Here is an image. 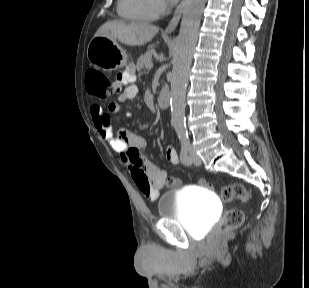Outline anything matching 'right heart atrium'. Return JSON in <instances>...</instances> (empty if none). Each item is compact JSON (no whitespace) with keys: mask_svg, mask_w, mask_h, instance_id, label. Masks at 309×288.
<instances>
[{"mask_svg":"<svg viewBox=\"0 0 309 288\" xmlns=\"http://www.w3.org/2000/svg\"><path fill=\"white\" fill-rule=\"evenodd\" d=\"M158 15L164 13L167 9L166 1L165 0H153Z\"/></svg>","mask_w":309,"mask_h":288,"instance_id":"d8ad5b80","label":"right heart atrium"}]
</instances>
